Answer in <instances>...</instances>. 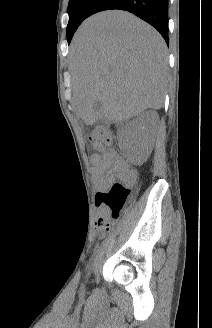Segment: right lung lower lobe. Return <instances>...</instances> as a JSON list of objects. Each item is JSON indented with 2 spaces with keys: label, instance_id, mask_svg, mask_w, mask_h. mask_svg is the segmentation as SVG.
Wrapping results in <instances>:
<instances>
[{
  "label": "right lung lower lobe",
  "instance_id": "right-lung-lower-lobe-1",
  "mask_svg": "<svg viewBox=\"0 0 212 328\" xmlns=\"http://www.w3.org/2000/svg\"><path fill=\"white\" fill-rule=\"evenodd\" d=\"M111 9L135 14L155 27L168 43V0H96L87 17Z\"/></svg>",
  "mask_w": 212,
  "mask_h": 328
}]
</instances>
